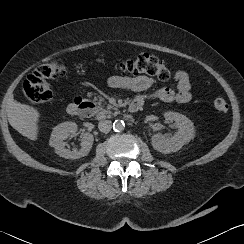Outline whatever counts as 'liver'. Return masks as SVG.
<instances>
[{"label": "liver", "mask_w": 244, "mask_h": 244, "mask_svg": "<svg viewBox=\"0 0 244 244\" xmlns=\"http://www.w3.org/2000/svg\"><path fill=\"white\" fill-rule=\"evenodd\" d=\"M7 109L11 125L30 141L37 142L40 135L41 111L13 97L9 99Z\"/></svg>", "instance_id": "1"}]
</instances>
